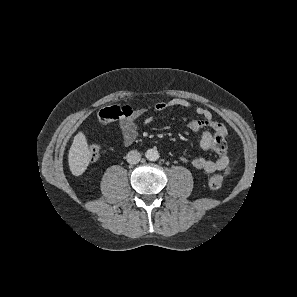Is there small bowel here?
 <instances>
[{
    "label": "small bowel",
    "instance_id": "c3829d8e",
    "mask_svg": "<svg viewBox=\"0 0 297 297\" xmlns=\"http://www.w3.org/2000/svg\"><path fill=\"white\" fill-rule=\"evenodd\" d=\"M191 106L192 104L188 100L173 98L169 101L157 102L154 108L156 111H163L168 108H190ZM194 111L198 117L190 120L187 124V128L192 132H201L200 148L203 151H208L213 147L216 134H222L225 136L226 129L220 122L213 119L212 114L208 109L196 106ZM146 112V109L138 108L134 110L131 116L120 118L119 128L124 145H131L135 141L138 135L137 121L140 118H143V122L145 124H149L153 121V116H146ZM182 161L187 162L188 159L186 157H182ZM229 163L230 159L225 154L220 155L216 160H210L203 157H196L190 160V164L193 168L209 174L225 170L229 166Z\"/></svg>",
    "mask_w": 297,
    "mask_h": 297
}]
</instances>
